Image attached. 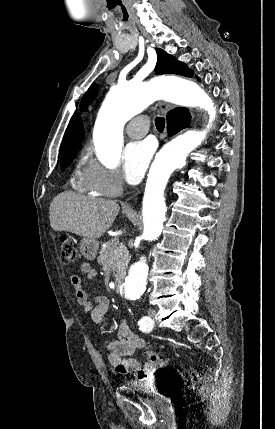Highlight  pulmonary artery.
I'll return each instance as SVG.
<instances>
[{"mask_svg": "<svg viewBox=\"0 0 275 429\" xmlns=\"http://www.w3.org/2000/svg\"><path fill=\"white\" fill-rule=\"evenodd\" d=\"M149 129V121L146 116H138L132 119L126 128V133L131 138H141L147 134Z\"/></svg>", "mask_w": 275, "mask_h": 429, "instance_id": "e3ab8cb5", "label": "pulmonary artery"}]
</instances>
